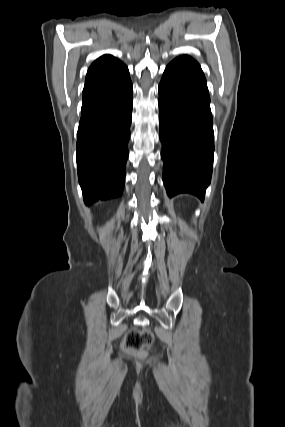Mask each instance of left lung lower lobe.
Returning a JSON list of instances; mask_svg holds the SVG:
<instances>
[{
  "instance_id": "obj_1",
  "label": "left lung lower lobe",
  "mask_w": 285,
  "mask_h": 427,
  "mask_svg": "<svg viewBox=\"0 0 285 427\" xmlns=\"http://www.w3.org/2000/svg\"><path fill=\"white\" fill-rule=\"evenodd\" d=\"M159 124L167 194L191 193L203 200L212 175L213 121L205 76L187 55L175 58L163 73Z\"/></svg>"
}]
</instances>
